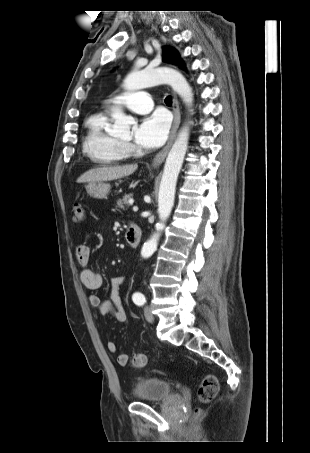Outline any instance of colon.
<instances>
[{
    "label": "colon",
    "instance_id": "obj_1",
    "mask_svg": "<svg viewBox=\"0 0 310 453\" xmlns=\"http://www.w3.org/2000/svg\"><path fill=\"white\" fill-rule=\"evenodd\" d=\"M85 218V211L81 204L77 203L73 207V219L80 222ZM147 363V356L145 353H137L133 358V367H144ZM219 384L214 375L207 374L201 379L198 387L197 396L200 402L208 403L215 398L218 393ZM198 415V412H197Z\"/></svg>",
    "mask_w": 310,
    "mask_h": 453
}]
</instances>
